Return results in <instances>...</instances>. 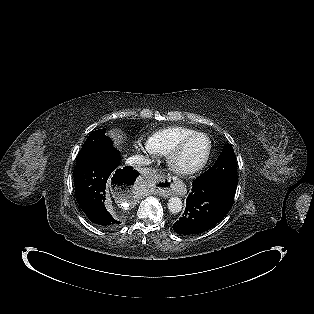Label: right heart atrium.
Here are the masks:
<instances>
[{
    "label": "right heart atrium",
    "mask_w": 314,
    "mask_h": 314,
    "mask_svg": "<svg viewBox=\"0 0 314 314\" xmlns=\"http://www.w3.org/2000/svg\"><path fill=\"white\" fill-rule=\"evenodd\" d=\"M135 147L137 149H139V150H144V151H146L148 153H151L147 143L144 144V143H142L140 141H137L136 144H135Z\"/></svg>",
    "instance_id": "d8ad5b80"
}]
</instances>
